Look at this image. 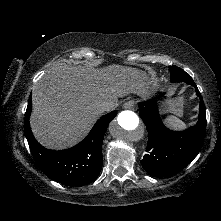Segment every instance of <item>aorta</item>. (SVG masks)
Masks as SVG:
<instances>
[{
	"label": "aorta",
	"mask_w": 221,
	"mask_h": 221,
	"mask_svg": "<svg viewBox=\"0 0 221 221\" xmlns=\"http://www.w3.org/2000/svg\"><path fill=\"white\" fill-rule=\"evenodd\" d=\"M109 131L114 138L124 142H136L144 136L139 117L130 110L121 111L110 123Z\"/></svg>",
	"instance_id": "762f6f07"
}]
</instances>
